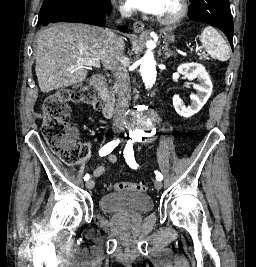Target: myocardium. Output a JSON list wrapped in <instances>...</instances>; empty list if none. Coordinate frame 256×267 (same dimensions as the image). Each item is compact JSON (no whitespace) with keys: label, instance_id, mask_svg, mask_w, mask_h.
<instances>
[{"label":"myocardium","instance_id":"1","mask_svg":"<svg viewBox=\"0 0 256 267\" xmlns=\"http://www.w3.org/2000/svg\"><path fill=\"white\" fill-rule=\"evenodd\" d=\"M170 5L174 10V14L170 21L161 20L165 25H172L177 23L186 14V7L182 3L172 0Z\"/></svg>","mask_w":256,"mask_h":267}]
</instances>
